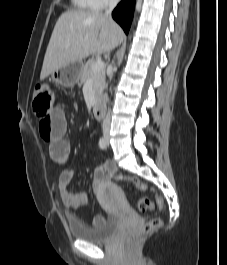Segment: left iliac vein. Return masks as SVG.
Masks as SVG:
<instances>
[{
  "label": "left iliac vein",
  "instance_id": "1",
  "mask_svg": "<svg viewBox=\"0 0 227 265\" xmlns=\"http://www.w3.org/2000/svg\"><path fill=\"white\" fill-rule=\"evenodd\" d=\"M106 144L108 145V138H106Z\"/></svg>",
  "mask_w": 227,
  "mask_h": 265
}]
</instances>
